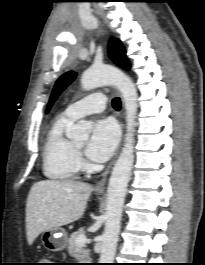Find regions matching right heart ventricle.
Segmentation results:
<instances>
[{
  "instance_id": "obj_1",
  "label": "right heart ventricle",
  "mask_w": 205,
  "mask_h": 265,
  "mask_svg": "<svg viewBox=\"0 0 205 265\" xmlns=\"http://www.w3.org/2000/svg\"><path fill=\"white\" fill-rule=\"evenodd\" d=\"M72 123L73 120L62 115L47 132L42 151V170L49 179L65 181L76 175L77 152L65 134Z\"/></svg>"
}]
</instances>
